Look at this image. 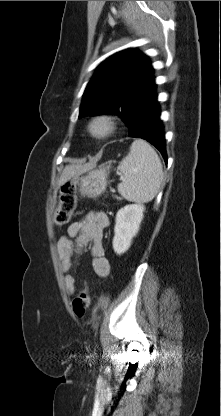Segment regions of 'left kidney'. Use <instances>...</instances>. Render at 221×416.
<instances>
[{
    "label": "left kidney",
    "instance_id": "obj_1",
    "mask_svg": "<svg viewBox=\"0 0 221 416\" xmlns=\"http://www.w3.org/2000/svg\"><path fill=\"white\" fill-rule=\"evenodd\" d=\"M144 205L130 204L122 207L116 214L113 249L121 255L131 246L132 239L139 231L143 219Z\"/></svg>",
    "mask_w": 221,
    "mask_h": 416
}]
</instances>
